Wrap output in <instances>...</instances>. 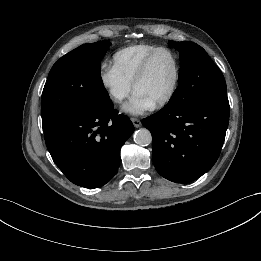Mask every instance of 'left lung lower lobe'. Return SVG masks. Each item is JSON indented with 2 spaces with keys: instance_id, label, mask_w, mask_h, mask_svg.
Here are the masks:
<instances>
[{
  "instance_id": "1",
  "label": "left lung lower lobe",
  "mask_w": 261,
  "mask_h": 261,
  "mask_svg": "<svg viewBox=\"0 0 261 261\" xmlns=\"http://www.w3.org/2000/svg\"><path fill=\"white\" fill-rule=\"evenodd\" d=\"M226 92L206 96L182 107L164 106L143 119L153 137L157 172L176 183H188L217 161L229 123Z\"/></svg>"
}]
</instances>
